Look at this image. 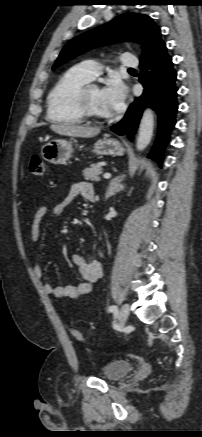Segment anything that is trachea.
<instances>
[{
  "mask_svg": "<svg viewBox=\"0 0 202 437\" xmlns=\"http://www.w3.org/2000/svg\"><path fill=\"white\" fill-rule=\"evenodd\" d=\"M129 70H132V71H133L134 69L130 68Z\"/></svg>",
  "mask_w": 202,
  "mask_h": 437,
  "instance_id": "obj_1",
  "label": "trachea"
}]
</instances>
